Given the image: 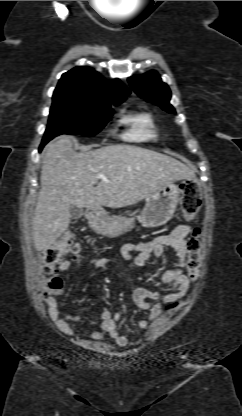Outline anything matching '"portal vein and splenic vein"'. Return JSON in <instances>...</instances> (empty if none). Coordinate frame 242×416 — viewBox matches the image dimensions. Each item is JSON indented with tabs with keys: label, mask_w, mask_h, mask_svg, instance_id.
Wrapping results in <instances>:
<instances>
[{
	"label": "portal vein and splenic vein",
	"mask_w": 242,
	"mask_h": 416,
	"mask_svg": "<svg viewBox=\"0 0 242 416\" xmlns=\"http://www.w3.org/2000/svg\"><path fill=\"white\" fill-rule=\"evenodd\" d=\"M96 178H97V179H102V180H104V181H108V180H107V177H106L104 174H102V173H99V174L96 176Z\"/></svg>",
	"instance_id": "portal-vein-and-splenic-vein-1"
}]
</instances>
